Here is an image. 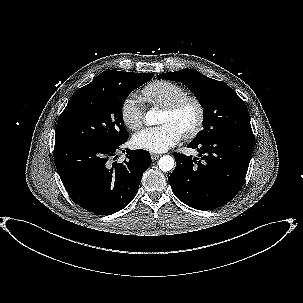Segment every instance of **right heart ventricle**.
Listing matches in <instances>:
<instances>
[{"instance_id": "obj_1", "label": "right heart ventricle", "mask_w": 303, "mask_h": 303, "mask_svg": "<svg viewBox=\"0 0 303 303\" xmlns=\"http://www.w3.org/2000/svg\"><path fill=\"white\" fill-rule=\"evenodd\" d=\"M142 92L148 103L157 107H165L187 95L182 86L168 80L153 81L146 85Z\"/></svg>"}]
</instances>
